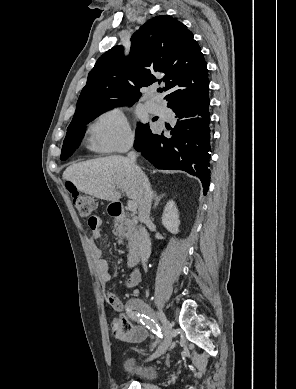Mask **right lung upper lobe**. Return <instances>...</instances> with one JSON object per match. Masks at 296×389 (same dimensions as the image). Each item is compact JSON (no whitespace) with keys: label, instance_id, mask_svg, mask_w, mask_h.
I'll return each instance as SVG.
<instances>
[{"label":"right lung upper lobe","instance_id":"obj_1","mask_svg":"<svg viewBox=\"0 0 296 389\" xmlns=\"http://www.w3.org/2000/svg\"><path fill=\"white\" fill-rule=\"evenodd\" d=\"M131 43L127 57L123 47L116 46L97 60L74 116L90 108L132 105L141 96L139 89L155 82L165 83L168 107L209 87L201 48L177 19L167 15L150 19L133 34Z\"/></svg>","mask_w":296,"mask_h":389}]
</instances>
